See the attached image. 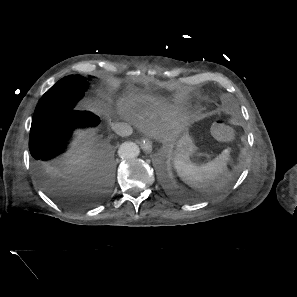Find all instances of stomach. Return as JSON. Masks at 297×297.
Masks as SVG:
<instances>
[{"label":"stomach","instance_id":"stomach-1","mask_svg":"<svg viewBox=\"0 0 297 297\" xmlns=\"http://www.w3.org/2000/svg\"><path fill=\"white\" fill-rule=\"evenodd\" d=\"M197 150L193 138L188 134L184 133L176 141L175 159H189Z\"/></svg>","mask_w":297,"mask_h":297}]
</instances>
